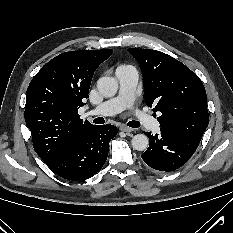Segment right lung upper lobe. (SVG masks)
<instances>
[{
  "instance_id": "1",
  "label": "right lung upper lobe",
  "mask_w": 233,
  "mask_h": 233,
  "mask_svg": "<svg viewBox=\"0 0 233 233\" xmlns=\"http://www.w3.org/2000/svg\"><path fill=\"white\" fill-rule=\"evenodd\" d=\"M112 53V49L62 53L30 82L24 115L34 150L43 161L94 126L80 119L78 109L88 96L95 70Z\"/></svg>"
}]
</instances>
